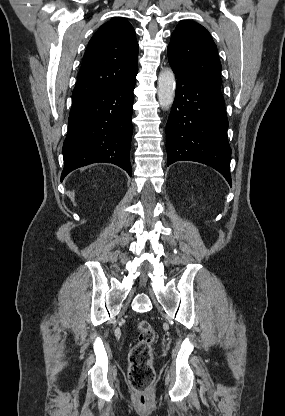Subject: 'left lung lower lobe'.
I'll list each match as a JSON object with an SVG mask.
<instances>
[{"instance_id":"left-lung-lower-lobe-1","label":"left lung lower lobe","mask_w":285,"mask_h":416,"mask_svg":"<svg viewBox=\"0 0 285 416\" xmlns=\"http://www.w3.org/2000/svg\"><path fill=\"white\" fill-rule=\"evenodd\" d=\"M173 71L177 88L166 126L167 166L182 160L200 162L219 171L231 185V148L221 90Z\"/></svg>"}]
</instances>
